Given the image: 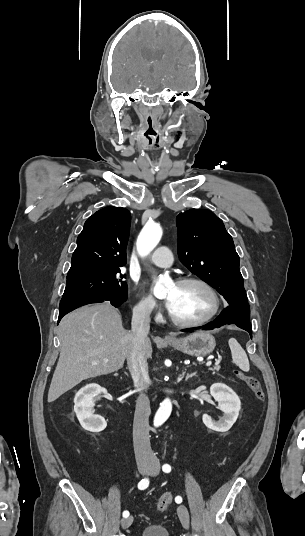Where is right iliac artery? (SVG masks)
Masks as SVG:
<instances>
[{
    "label": "right iliac artery",
    "mask_w": 305,
    "mask_h": 536,
    "mask_svg": "<svg viewBox=\"0 0 305 536\" xmlns=\"http://www.w3.org/2000/svg\"><path fill=\"white\" fill-rule=\"evenodd\" d=\"M149 485V480L148 479H142L139 484H138V488L140 490H144L148 487ZM129 516V512L128 511H124L123 512V517L127 518Z\"/></svg>",
    "instance_id": "obj_1"
}]
</instances>
